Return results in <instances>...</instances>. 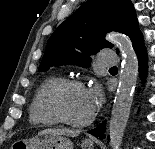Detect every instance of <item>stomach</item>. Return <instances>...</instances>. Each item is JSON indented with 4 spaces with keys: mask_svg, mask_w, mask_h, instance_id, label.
<instances>
[{
    "mask_svg": "<svg viewBox=\"0 0 155 149\" xmlns=\"http://www.w3.org/2000/svg\"><path fill=\"white\" fill-rule=\"evenodd\" d=\"M81 149H94V143L91 140H83ZM16 149H74L73 142L58 134L39 133L29 140L17 141L13 144Z\"/></svg>",
    "mask_w": 155,
    "mask_h": 149,
    "instance_id": "1",
    "label": "stomach"
}]
</instances>
